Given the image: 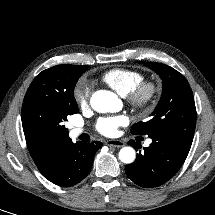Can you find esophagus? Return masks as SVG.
Returning a JSON list of instances; mask_svg holds the SVG:
<instances>
[{
  "label": "esophagus",
  "mask_w": 215,
  "mask_h": 215,
  "mask_svg": "<svg viewBox=\"0 0 215 215\" xmlns=\"http://www.w3.org/2000/svg\"><path fill=\"white\" fill-rule=\"evenodd\" d=\"M105 144L107 146H112V147H116V148H120V147H123L125 145V143L121 140H107L105 142Z\"/></svg>",
  "instance_id": "1"
}]
</instances>
